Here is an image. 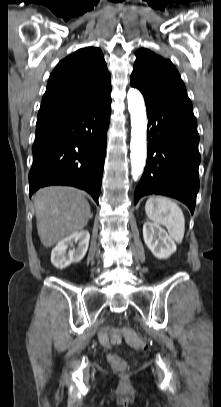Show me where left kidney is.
I'll use <instances>...</instances> for the list:
<instances>
[{"instance_id":"left-kidney-1","label":"left kidney","mask_w":221,"mask_h":407,"mask_svg":"<svg viewBox=\"0 0 221 407\" xmlns=\"http://www.w3.org/2000/svg\"><path fill=\"white\" fill-rule=\"evenodd\" d=\"M144 242L158 259H167L176 251L174 240L158 224L145 222L143 225Z\"/></svg>"}]
</instances>
